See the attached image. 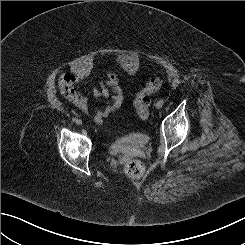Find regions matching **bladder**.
<instances>
[{
	"instance_id": "31cf9c89",
	"label": "bladder",
	"mask_w": 245,
	"mask_h": 245,
	"mask_svg": "<svg viewBox=\"0 0 245 245\" xmlns=\"http://www.w3.org/2000/svg\"><path fill=\"white\" fill-rule=\"evenodd\" d=\"M143 135L142 132L120 135L112 140L110 149L114 154L128 155L137 147Z\"/></svg>"
}]
</instances>
